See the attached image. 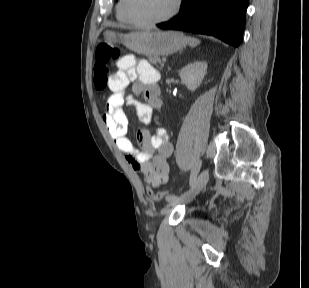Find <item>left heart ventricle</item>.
<instances>
[{"label": "left heart ventricle", "mask_w": 309, "mask_h": 288, "mask_svg": "<svg viewBox=\"0 0 309 288\" xmlns=\"http://www.w3.org/2000/svg\"><path fill=\"white\" fill-rule=\"evenodd\" d=\"M174 0H129V11L139 21H151L168 14Z\"/></svg>", "instance_id": "1"}]
</instances>
